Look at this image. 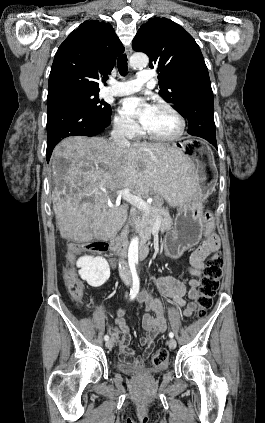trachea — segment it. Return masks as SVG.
Instances as JSON below:
<instances>
[{
	"label": "trachea",
	"instance_id": "obj_1",
	"mask_svg": "<svg viewBox=\"0 0 265 423\" xmlns=\"http://www.w3.org/2000/svg\"><path fill=\"white\" fill-rule=\"evenodd\" d=\"M117 67H118V70H119L120 75L125 76L127 74L128 65H127V56H126V54H122V55H120L118 57Z\"/></svg>",
	"mask_w": 265,
	"mask_h": 423
}]
</instances>
